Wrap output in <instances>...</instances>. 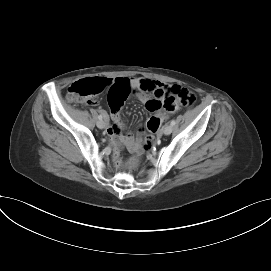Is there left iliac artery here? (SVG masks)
<instances>
[{
	"label": "left iliac artery",
	"instance_id": "left-iliac-artery-1",
	"mask_svg": "<svg viewBox=\"0 0 271 271\" xmlns=\"http://www.w3.org/2000/svg\"><path fill=\"white\" fill-rule=\"evenodd\" d=\"M170 124H171V126H174V125L176 124V121H175V120H172V121L170 122Z\"/></svg>",
	"mask_w": 271,
	"mask_h": 271
}]
</instances>
